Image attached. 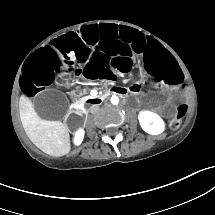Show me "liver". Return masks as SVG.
<instances>
[{"mask_svg":"<svg viewBox=\"0 0 215 215\" xmlns=\"http://www.w3.org/2000/svg\"><path fill=\"white\" fill-rule=\"evenodd\" d=\"M19 109L22 126L36 147L53 156H62L70 151V135L66 125L61 121L41 119L25 96L20 99Z\"/></svg>","mask_w":215,"mask_h":215,"instance_id":"obj_1","label":"liver"}]
</instances>
